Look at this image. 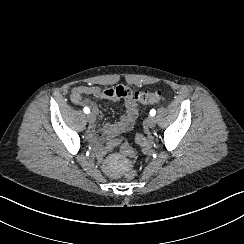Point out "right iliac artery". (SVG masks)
Listing matches in <instances>:
<instances>
[{
    "instance_id": "obj_1",
    "label": "right iliac artery",
    "mask_w": 244,
    "mask_h": 244,
    "mask_svg": "<svg viewBox=\"0 0 244 244\" xmlns=\"http://www.w3.org/2000/svg\"><path fill=\"white\" fill-rule=\"evenodd\" d=\"M83 111H84L86 114L90 113V109H89L88 107H85V108L83 109Z\"/></svg>"
}]
</instances>
